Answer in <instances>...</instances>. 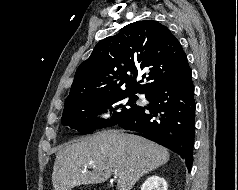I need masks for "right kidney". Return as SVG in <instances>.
<instances>
[{"instance_id": "right-kidney-1", "label": "right kidney", "mask_w": 238, "mask_h": 190, "mask_svg": "<svg viewBox=\"0 0 238 190\" xmlns=\"http://www.w3.org/2000/svg\"><path fill=\"white\" fill-rule=\"evenodd\" d=\"M141 190H167V183L164 178L151 176L143 183Z\"/></svg>"}]
</instances>
